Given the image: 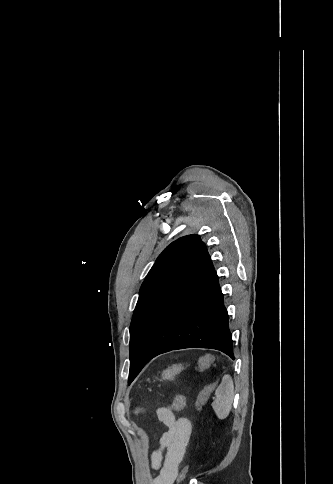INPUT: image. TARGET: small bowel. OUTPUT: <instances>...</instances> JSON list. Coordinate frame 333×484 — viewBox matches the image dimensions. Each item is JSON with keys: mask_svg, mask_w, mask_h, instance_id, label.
Listing matches in <instances>:
<instances>
[{"mask_svg": "<svg viewBox=\"0 0 333 484\" xmlns=\"http://www.w3.org/2000/svg\"><path fill=\"white\" fill-rule=\"evenodd\" d=\"M155 413L167 431L160 438V448L151 457L152 468L157 471L153 484H173L191 436L192 425L188 418L176 417L167 407L157 408Z\"/></svg>", "mask_w": 333, "mask_h": 484, "instance_id": "1", "label": "small bowel"}]
</instances>
